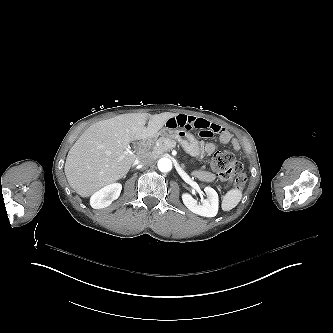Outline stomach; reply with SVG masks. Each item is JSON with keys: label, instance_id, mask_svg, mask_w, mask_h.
<instances>
[{"label": "stomach", "instance_id": "stomach-1", "mask_svg": "<svg viewBox=\"0 0 333 333\" xmlns=\"http://www.w3.org/2000/svg\"><path fill=\"white\" fill-rule=\"evenodd\" d=\"M158 134L165 137L175 136V139L177 141H180L181 145L189 154L196 157L204 156V153L201 150L198 140L188 132H183L180 131L179 129L165 126L159 131Z\"/></svg>", "mask_w": 333, "mask_h": 333}]
</instances>
